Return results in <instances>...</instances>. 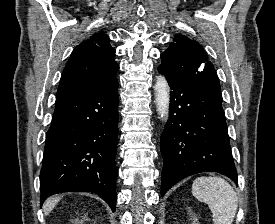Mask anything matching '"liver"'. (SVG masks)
Listing matches in <instances>:
<instances>
[{"mask_svg": "<svg viewBox=\"0 0 275 224\" xmlns=\"http://www.w3.org/2000/svg\"><path fill=\"white\" fill-rule=\"evenodd\" d=\"M60 197H53L48 199L45 203H44V212L46 215H48L51 210L56 206V204L60 201Z\"/></svg>", "mask_w": 275, "mask_h": 224, "instance_id": "6515ba94", "label": "liver"}]
</instances>
